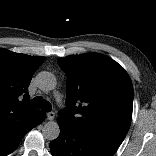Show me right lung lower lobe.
Returning <instances> with one entry per match:
<instances>
[{
    "instance_id": "right-lung-lower-lobe-1",
    "label": "right lung lower lobe",
    "mask_w": 156,
    "mask_h": 156,
    "mask_svg": "<svg viewBox=\"0 0 156 156\" xmlns=\"http://www.w3.org/2000/svg\"><path fill=\"white\" fill-rule=\"evenodd\" d=\"M46 114L43 111H40L36 118L33 121L16 125L12 124L7 126L4 129L0 130V156H6L9 153L13 152L24 135L29 132L32 128L36 127L38 124L42 123Z\"/></svg>"
}]
</instances>
